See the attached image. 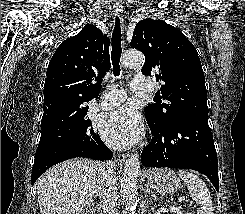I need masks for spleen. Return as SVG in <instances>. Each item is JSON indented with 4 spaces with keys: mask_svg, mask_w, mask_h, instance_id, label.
<instances>
[{
    "mask_svg": "<svg viewBox=\"0 0 245 214\" xmlns=\"http://www.w3.org/2000/svg\"><path fill=\"white\" fill-rule=\"evenodd\" d=\"M178 175L185 182L191 198L197 204V214H213L212 199L202 179L188 170H179Z\"/></svg>",
    "mask_w": 245,
    "mask_h": 214,
    "instance_id": "3e777b00",
    "label": "spleen"
}]
</instances>
